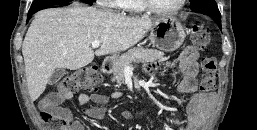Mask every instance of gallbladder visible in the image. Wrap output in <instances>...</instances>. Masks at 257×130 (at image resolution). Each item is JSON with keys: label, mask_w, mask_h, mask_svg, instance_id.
Wrapping results in <instances>:
<instances>
[{"label": "gallbladder", "mask_w": 257, "mask_h": 130, "mask_svg": "<svg viewBox=\"0 0 257 130\" xmlns=\"http://www.w3.org/2000/svg\"><path fill=\"white\" fill-rule=\"evenodd\" d=\"M66 74V70L64 68H59L54 71L49 79V84L54 85L56 84L64 75Z\"/></svg>", "instance_id": "bac80fb5"}]
</instances>
